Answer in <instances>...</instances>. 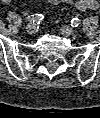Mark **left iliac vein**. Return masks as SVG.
<instances>
[{
  "instance_id": "obj_1",
  "label": "left iliac vein",
  "mask_w": 100,
  "mask_h": 118,
  "mask_svg": "<svg viewBox=\"0 0 100 118\" xmlns=\"http://www.w3.org/2000/svg\"><path fill=\"white\" fill-rule=\"evenodd\" d=\"M60 32L63 36H70L74 33V30L69 27V26H63L61 29H60Z\"/></svg>"
}]
</instances>
